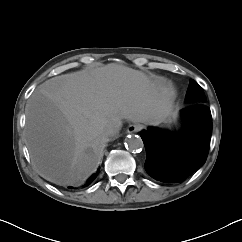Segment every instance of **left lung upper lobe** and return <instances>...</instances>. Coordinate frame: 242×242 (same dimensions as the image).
Wrapping results in <instances>:
<instances>
[{"instance_id":"1","label":"left lung upper lobe","mask_w":242,"mask_h":242,"mask_svg":"<svg viewBox=\"0 0 242 242\" xmlns=\"http://www.w3.org/2000/svg\"><path fill=\"white\" fill-rule=\"evenodd\" d=\"M186 100L192 104H204L206 102L203 89L194 80H190L189 82Z\"/></svg>"}]
</instances>
